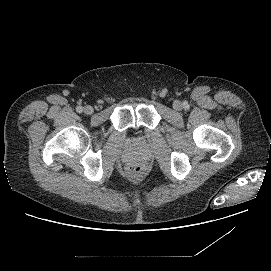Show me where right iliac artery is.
<instances>
[{
  "label": "right iliac artery",
  "mask_w": 271,
  "mask_h": 271,
  "mask_svg": "<svg viewBox=\"0 0 271 271\" xmlns=\"http://www.w3.org/2000/svg\"><path fill=\"white\" fill-rule=\"evenodd\" d=\"M76 111H77L78 113H81V112L83 111V107H82V106H78V107L76 108Z\"/></svg>",
  "instance_id": "82829eb1"
}]
</instances>
